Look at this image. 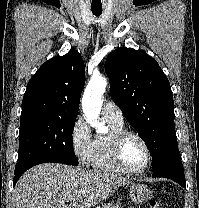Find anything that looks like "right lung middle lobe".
Listing matches in <instances>:
<instances>
[{"label": "right lung middle lobe", "instance_id": "dd1d6c3e", "mask_svg": "<svg viewBox=\"0 0 199 208\" xmlns=\"http://www.w3.org/2000/svg\"><path fill=\"white\" fill-rule=\"evenodd\" d=\"M76 117L38 112L21 114L15 173L46 162L78 165L72 140Z\"/></svg>", "mask_w": 199, "mask_h": 208}]
</instances>
